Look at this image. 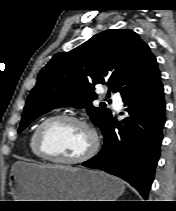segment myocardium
I'll return each mask as SVG.
<instances>
[{"label": "myocardium", "instance_id": "f54148a6", "mask_svg": "<svg viewBox=\"0 0 176 211\" xmlns=\"http://www.w3.org/2000/svg\"><path fill=\"white\" fill-rule=\"evenodd\" d=\"M61 120L71 121L76 124H79V125L83 126L84 128H86L88 130V132L90 133L91 145L88 148V150L81 156L76 157V158H70V159L63 158V157H59V156L49 153L44 148V145L42 142V134H43L44 129L49 124L56 122V121H61ZM34 145H35V149H36L37 153L43 159H47L50 161H55V162H59V163H63V164H79V163H83V162L87 161L88 159H90L91 157H93L96 154V152L98 151L99 145H100V139H99V135H98L96 129L85 119L75 116V115H71V114H56V115L46 118L37 126L35 135H34Z\"/></svg>", "mask_w": 176, "mask_h": 211}]
</instances>
